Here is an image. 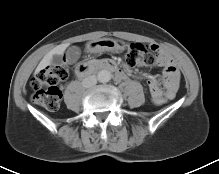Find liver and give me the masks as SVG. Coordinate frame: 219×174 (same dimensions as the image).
<instances>
[{"mask_svg":"<svg viewBox=\"0 0 219 174\" xmlns=\"http://www.w3.org/2000/svg\"><path fill=\"white\" fill-rule=\"evenodd\" d=\"M67 47L68 44H61L48 52L37 66L36 73H38L40 70L44 69L50 64V60L54 54H63Z\"/></svg>","mask_w":219,"mask_h":174,"instance_id":"6515ba94","label":"liver"}]
</instances>
